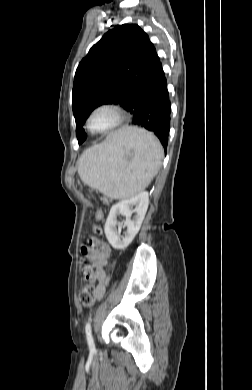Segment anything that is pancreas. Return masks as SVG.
Returning a JSON list of instances; mask_svg holds the SVG:
<instances>
[{"instance_id":"pancreas-1","label":"pancreas","mask_w":252,"mask_h":390,"mask_svg":"<svg viewBox=\"0 0 252 390\" xmlns=\"http://www.w3.org/2000/svg\"><path fill=\"white\" fill-rule=\"evenodd\" d=\"M103 202H104L105 204H108V203H109V201H108L107 199H104Z\"/></svg>"}]
</instances>
